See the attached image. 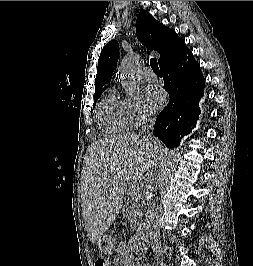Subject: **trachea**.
<instances>
[{"label":"trachea","mask_w":253,"mask_h":266,"mask_svg":"<svg viewBox=\"0 0 253 266\" xmlns=\"http://www.w3.org/2000/svg\"><path fill=\"white\" fill-rule=\"evenodd\" d=\"M150 65H151V68L153 69V71L155 72V74H161V71L158 67V63H157L156 58H152L150 60Z\"/></svg>","instance_id":"obj_1"}]
</instances>
